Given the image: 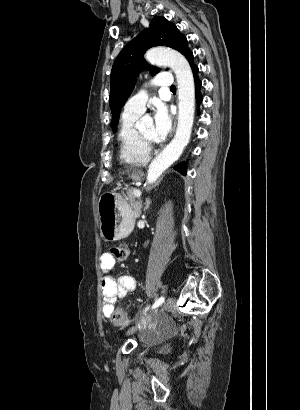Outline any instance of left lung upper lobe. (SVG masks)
Listing matches in <instances>:
<instances>
[{"instance_id": "obj_1", "label": "left lung upper lobe", "mask_w": 300, "mask_h": 410, "mask_svg": "<svg viewBox=\"0 0 300 410\" xmlns=\"http://www.w3.org/2000/svg\"><path fill=\"white\" fill-rule=\"evenodd\" d=\"M164 45L181 52L186 58L192 53L187 45L186 37L166 18L156 16L150 27L136 36L117 56L110 77L109 104L112 112V128L115 132L119 122L120 111L132 93L136 78L146 68L143 55L147 49ZM158 68L151 67L152 75Z\"/></svg>"}]
</instances>
